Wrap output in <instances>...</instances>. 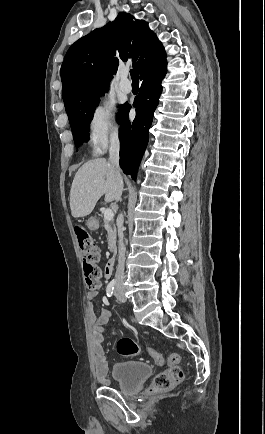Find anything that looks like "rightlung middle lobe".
Wrapping results in <instances>:
<instances>
[{
    "label": "right lung middle lobe",
    "mask_w": 265,
    "mask_h": 434,
    "mask_svg": "<svg viewBox=\"0 0 265 434\" xmlns=\"http://www.w3.org/2000/svg\"><path fill=\"white\" fill-rule=\"evenodd\" d=\"M105 91H107V89H101L77 100L64 103L77 147L82 142L89 139V124L92 120L95 108L98 106L99 97ZM126 107L127 103L120 107V122Z\"/></svg>",
    "instance_id": "right-lung-middle-lobe-1"
}]
</instances>
